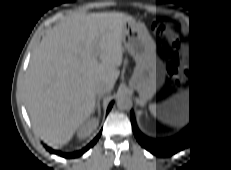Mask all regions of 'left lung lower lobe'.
<instances>
[{
  "instance_id": "left-lung-lower-lobe-1",
  "label": "left lung lower lobe",
  "mask_w": 231,
  "mask_h": 170,
  "mask_svg": "<svg viewBox=\"0 0 231 170\" xmlns=\"http://www.w3.org/2000/svg\"><path fill=\"white\" fill-rule=\"evenodd\" d=\"M204 56L207 62V57L205 53ZM207 77H208L209 86H208V94L204 106L200 114L197 116V118L194 119L193 121H190V126L186 128L180 135L167 140L150 139L144 136L138 130L135 121L131 116L133 133L135 135V138L143 148L150 151L154 155L169 156L177 153L178 151L184 149L185 147L193 143V141L198 137L199 133L202 130L212 99V77H211V71L209 69L208 63H207Z\"/></svg>"
}]
</instances>
